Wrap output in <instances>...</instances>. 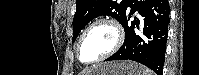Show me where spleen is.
<instances>
[{"label": "spleen", "instance_id": "3e777b00", "mask_svg": "<svg viewBox=\"0 0 199 75\" xmlns=\"http://www.w3.org/2000/svg\"><path fill=\"white\" fill-rule=\"evenodd\" d=\"M143 75H152L151 71L149 69H145L143 71Z\"/></svg>", "mask_w": 199, "mask_h": 75}]
</instances>
